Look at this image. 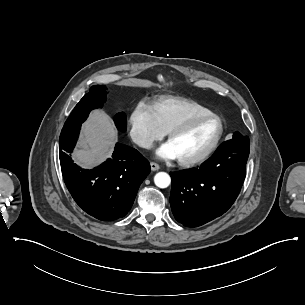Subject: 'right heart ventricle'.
<instances>
[{
    "instance_id": "1",
    "label": "right heart ventricle",
    "mask_w": 305,
    "mask_h": 305,
    "mask_svg": "<svg viewBox=\"0 0 305 305\" xmlns=\"http://www.w3.org/2000/svg\"><path fill=\"white\" fill-rule=\"evenodd\" d=\"M152 106L165 132L187 118L210 112L208 108L193 100L177 96L165 97Z\"/></svg>"
}]
</instances>
